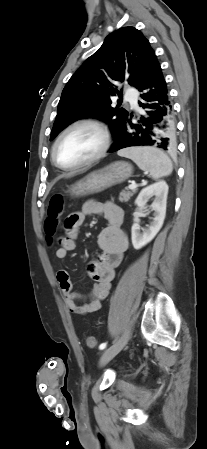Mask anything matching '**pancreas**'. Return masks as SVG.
<instances>
[{"label":"pancreas","instance_id":"cf45deb5","mask_svg":"<svg viewBox=\"0 0 207 449\" xmlns=\"http://www.w3.org/2000/svg\"><path fill=\"white\" fill-rule=\"evenodd\" d=\"M136 192H137L136 189H134V190H132V191H128V190L125 191V190H123V191L120 193L119 201H120V202H128L129 199H130Z\"/></svg>","mask_w":207,"mask_h":449}]
</instances>
